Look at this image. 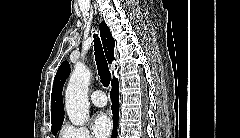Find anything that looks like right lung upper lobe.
<instances>
[{"label":"right lung upper lobe","mask_w":240,"mask_h":138,"mask_svg":"<svg viewBox=\"0 0 240 138\" xmlns=\"http://www.w3.org/2000/svg\"><path fill=\"white\" fill-rule=\"evenodd\" d=\"M100 35L105 51L106 58L109 63L114 60V39L110 33V30L105 22H101L100 24ZM70 73V65L67 61H64L54 78V84L51 95V122L52 126L60 125L64 120V106L62 100V89L63 85ZM114 78L113 80H115Z\"/></svg>","instance_id":"cb5924a9"}]
</instances>
